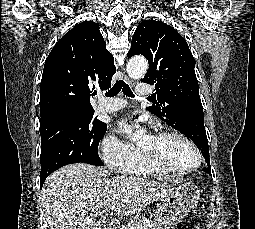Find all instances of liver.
<instances>
[{"mask_svg":"<svg viewBox=\"0 0 255 229\" xmlns=\"http://www.w3.org/2000/svg\"><path fill=\"white\" fill-rule=\"evenodd\" d=\"M109 175L104 167L76 163L48 176L41 200L50 229H101L97 216L108 209L133 215L172 190L144 178Z\"/></svg>","mask_w":255,"mask_h":229,"instance_id":"1","label":"liver"}]
</instances>
